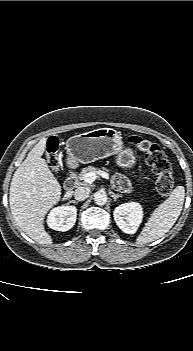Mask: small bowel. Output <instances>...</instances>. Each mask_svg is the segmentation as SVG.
<instances>
[{
  "mask_svg": "<svg viewBox=\"0 0 193 351\" xmlns=\"http://www.w3.org/2000/svg\"><path fill=\"white\" fill-rule=\"evenodd\" d=\"M115 180H116L117 184H120L121 186L126 188V183H125L124 179L121 176H116Z\"/></svg>",
  "mask_w": 193,
  "mask_h": 351,
  "instance_id": "small-bowel-1",
  "label": "small bowel"
}]
</instances>
